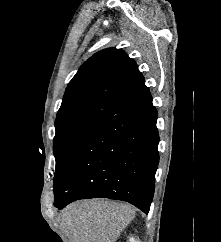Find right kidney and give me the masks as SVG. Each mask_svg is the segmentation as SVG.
I'll use <instances>...</instances> for the list:
<instances>
[{"label": "right kidney", "mask_w": 221, "mask_h": 242, "mask_svg": "<svg viewBox=\"0 0 221 242\" xmlns=\"http://www.w3.org/2000/svg\"><path fill=\"white\" fill-rule=\"evenodd\" d=\"M130 242H134V239H133V237H132V238H130Z\"/></svg>", "instance_id": "obj_1"}]
</instances>
